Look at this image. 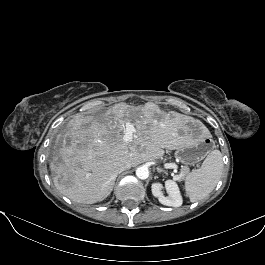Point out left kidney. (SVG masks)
<instances>
[{
	"label": "left kidney",
	"instance_id": "left-kidney-1",
	"mask_svg": "<svg viewBox=\"0 0 265 265\" xmlns=\"http://www.w3.org/2000/svg\"><path fill=\"white\" fill-rule=\"evenodd\" d=\"M162 184L153 183L152 184V194L158 198L159 202L166 206L180 207L183 203L182 196L177 183L173 180L165 181V188L167 190L168 196L165 197L162 193Z\"/></svg>",
	"mask_w": 265,
	"mask_h": 265
}]
</instances>
